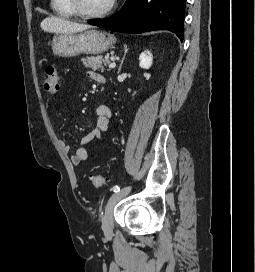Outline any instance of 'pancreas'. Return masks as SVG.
<instances>
[{
	"instance_id": "obj_1",
	"label": "pancreas",
	"mask_w": 255,
	"mask_h": 272,
	"mask_svg": "<svg viewBox=\"0 0 255 272\" xmlns=\"http://www.w3.org/2000/svg\"><path fill=\"white\" fill-rule=\"evenodd\" d=\"M81 61L86 68H91L94 71L100 70L101 72H104L105 70L103 65L106 66L109 63V60L104 59L102 56L82 58Z\"/></svg>"
}]
</instances>
